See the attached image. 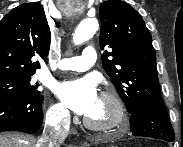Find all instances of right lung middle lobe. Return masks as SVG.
I'll return each mask as SVG.
<instances>
[{"mask_svg":"<svg viewBox=\"0 0 183 147\" xmlns=\"http://www.w3.org/2000/svg\"><path fill=\"white\" fill-rule=\"evenodd\" d=\"M33 74L0 79V96L5 95H36L40 94L37 90L39 84L31 82Z\"/></svg>","mask_w":183,"mask_h":147,"instance_id":"obj_1","label":"right lung middle lobe"}]
</instances>
